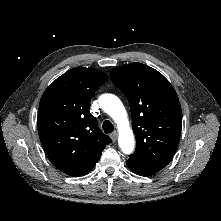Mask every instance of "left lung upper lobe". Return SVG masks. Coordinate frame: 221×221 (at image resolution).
I'll use <instances>...</instances> for the list:
<instances>
[{
    "instance_id": "obj_1",
    "label": "left lung upper lobe",
    "mask_w": 221,
    "mask_h": 221,
    "mask_svg": "<svg viewBox=\"0 0 221 221\" xmlns=\"http://www.w3.org/2000/svg\"><path fill=\"white\" fill-rule=\"evenodd\" d=\"M110 78L130 105L137 143L130 158L164 168L181 134L182 112L174 88L161 73L142 63L117 67Z\"/></svg>"
}]
</instances>
